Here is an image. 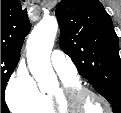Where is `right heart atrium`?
Here are the masks:
<instances>
[{"instance_id":"1","label":"right heart atrium","mask_w":121,"mask_h":113,"mask_svg":"<svg viewBox=\"0 0 121 113\" xmlns=\"http://www.w3.org/2000/svg\"><path fill=\"white\" fill-rule=\"evenodd\" d=\"M6 100L16 113H33L41 100V92L34 78L22 67H17L8 81Z\"/></svg>"}]
</instances>
